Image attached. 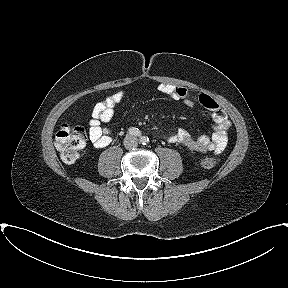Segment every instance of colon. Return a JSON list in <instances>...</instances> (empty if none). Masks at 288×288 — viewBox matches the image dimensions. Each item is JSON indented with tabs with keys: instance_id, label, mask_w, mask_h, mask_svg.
<instances>
[{
	"instance_id": "colon-1",
	"label": "colon",
	"mask_w": 288,
	"mask_h": 288,
	"mask_svg": "<svg viewBox=\"0 0 288 288\" xmlns=\"http://www.w3.org/2000/svg\"><path fill=\"white\" fill-rule=\"evenodd\" d=\"M86 143V131L79 125L63 124L55 135V147L66 163L75 162ZM218 163V157H206L201 160V166L204 169L214 168Z\"/></svg>"
}]
</instances>
